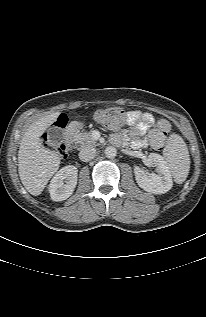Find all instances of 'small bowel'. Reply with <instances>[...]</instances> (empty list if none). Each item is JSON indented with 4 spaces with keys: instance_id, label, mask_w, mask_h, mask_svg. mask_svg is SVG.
I'll list each match as a JSON object with an SVG mask.
<instances>
[{
    "instance_id": "obj_1",
    "label": "small bowel",
    "mask_w": 206,
    "mask_h": 317,
    "mask_svg": "<svg viewBox=\"0 0 206 317\" xmlns=\"http://www.w3.org/2000/svg\"><path fill=\"white\" fill-rule=\"evenodd\" d=\"M128 123L133 126L131 130L117 134L114 138L124 142L130 141L136 149L148 145L154 149H161L166 135L171 130V125L166 119L156 121L152 114L139 110L128 113Z\"/></svg>"
}]
</instances>
